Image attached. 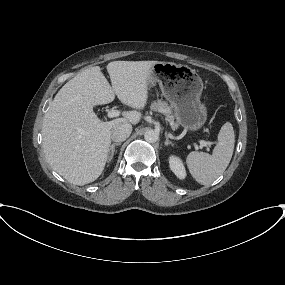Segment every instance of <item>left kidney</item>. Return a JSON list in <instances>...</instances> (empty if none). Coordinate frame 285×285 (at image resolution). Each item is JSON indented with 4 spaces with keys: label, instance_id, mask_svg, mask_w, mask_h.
<instances>
[{
    "label": "left kidney",
    "instance_id": "5707ae66",
    "mask_svg": "<svg viewBox=\"0 0 285 285\" xmlns=\"http://www.w3.org/2000/svg\"><path fill=\"white\" fill-rule=\"evenodd\" d=\"M170 169L173 173L179 178L184 179L186 177V170L181 161V159L177 156H170L169 158Z\"/></svg>",
    "mask_w": 285,
    "mask_h": 285
}]
</instances>
